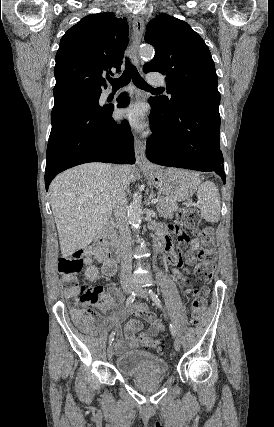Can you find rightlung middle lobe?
I'll return each mask as SVG.
<instances>
[{
    "label": "right lung middle lobe",
    "instance_id": "obj_1",
    "mask_svg": "<svg viewBox=\"0 0 274 427\" xmlns=\"http://www.w3.org/2000/svg\"><path fill=\"white\" fill-rule=\"evenodd\" d=\"M99 97L100 93L72 96L64 100L62 103L54 105L53 110L51 112V116L82 104H94L100 107L98 104Z\"/></svg>",
    "mask_w": 274,
    "mask_h": 427
}]
</instances>
